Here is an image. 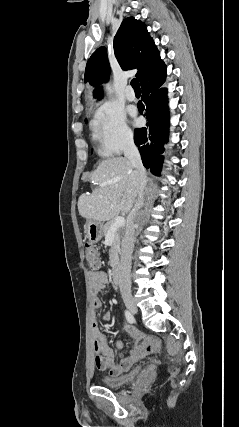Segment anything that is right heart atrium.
Wrapping results in <instances>:
<instances>
[{
	"label": "right heart atrium",
	"mask_w": 239,
	"mask_h": 427,
	"mask_svg": "<svg viewBox=\"0 0 239 427\" xmlns=\"http://www.w3.org/2000/svg\"><path fill=\"white\" fill-rule=\"evenodd\" d=\"M93 125L111 154H120L134 143V134L124 113L112 104H104L97 110Z\"/></svg>",
	"instance_id": "d8ad5b80"
}]
</instances>
